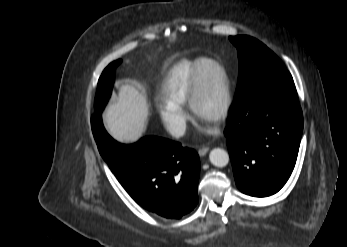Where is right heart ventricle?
Returning <instances> with one entry per match:
<instances>
[{"mask_svg": "<svg viewBox=\"0 0 347 247\" xmlns=\"http://www.w3.org/2000/svg\"><path fill=\"white\" fill-rule=\"evenodd\" d=\"M205 59L185 61L176 64L167 75L162 94L164 100L184 106L188 103V95L194 72L204 66Z\"/></svg>", "mask_w": 347, "mask_h": 247, "instance_id": "e07e8e85", "label": "right heart ventricle"}]
</instances>
